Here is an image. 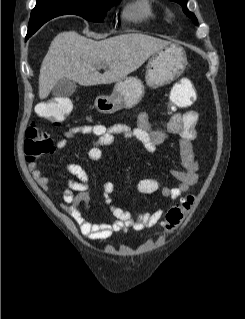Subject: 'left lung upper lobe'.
<instances>
[{
	"mask_svg": "<svg viewBox=\"0 0 245 319\" xmlns=\"http://www.w3.org/2000/svg\"><path fill=\"white\" fill-rule=\"evenodd\" d=\"M172 1L179 3L183 7V11L185 12V14H187L188 17H190L196 24H198L195 15L189 12L186 7L187 0H172Z\"/></svg>",
	"mask_w": 245,
	"mask_h": 319,
	"instance_id": "1",
	"label": "left lung upper lobe"
}]
</instances>
